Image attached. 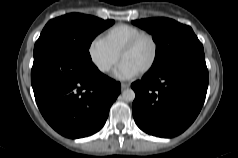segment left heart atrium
<instances>
[{
	"label": "left heart atrium",
	"mask_w": 238,
	"mask_h": 158,
	"mask_svg": "<svg viewBox=\"0 0 238 158\" xmlns=\"http://www.w3.org/2000/svg\"><path fill=\"white\" fill-rule=\"evenodd\" d=\"M139 73V70L130 65L129 63L122 61L116 68L114 75L119 79H129Z\"/></svg>",
	"instance_id": "1"
}]
</instances>
